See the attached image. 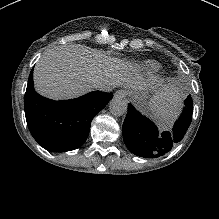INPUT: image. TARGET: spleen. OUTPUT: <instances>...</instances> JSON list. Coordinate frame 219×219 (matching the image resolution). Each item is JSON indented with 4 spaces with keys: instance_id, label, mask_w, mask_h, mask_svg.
I'll use <instances>...</instances> for the list:
<instances>
[{
    "instance_id": "spleen-1",
    "label": "spleen",
    "mask_w": 219,
    "mask_h": 219,
    "mask_svg": "<svg viewBox=\"0 0 219 219\" xmlns=\"http://www.w3.org/2000/svg\"><path fill=\"white\" fill-rule=\"evenodd\" d=\"M172 117V111L161 107H159L150 114V118L158 126L159 129L167 128L170 125Z\"/></svg>"
}]
</instances>
